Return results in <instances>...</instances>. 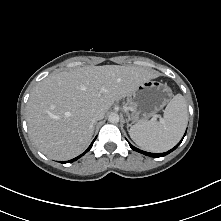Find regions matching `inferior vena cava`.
Listing matches in <instances>:
<instances>
[{
	"instance_id": "inferior-vena-cava-1",
	"label": "inferior vena cava",
	"mask_w": 221,
	"mask_h": 221,
	"mask_svg": "<svg viewBox=\"0 0 221 221\" xmlns=\"http://www.w3.org/2000/svg\"><path fill=\"white\" fill-rule=\"evenodd\" d=\"M104 112H102V111H98V112H96L94 115H93V117H92V121L95 123V122H97L98 120H101V119H103L104 118Z\"/></svg>"
}]
</instances>
